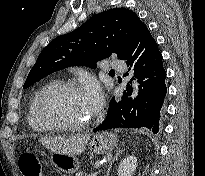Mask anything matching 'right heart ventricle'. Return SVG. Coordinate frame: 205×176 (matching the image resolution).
Instances as JSON below:
<instances>
[{"mask_svg": "<svg viewBox=\"0 0 205 176\" xmlns=\"http://www.w3.org/2000/svg\"><path fill=\"white\" fill-rule=\"evenodd\" d=\"M53 83H46L45 85H43L40 89H38L34 95L32 96V98L29 101L28 104V108H27V121L28 124L30 125L31 129L35 132L41 133V132H45L47 131V128L40 126L34 119L33 116V106L35 103L36 98L38 97V95L45 90L47 87H49L50 85H52Z\"/></svg>", "mask_w": 205, "mask_h": 176, "instance_id": "right-heart-ventricle-1", "label": "right heart ventricle"}]
</instances>
